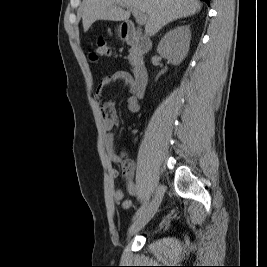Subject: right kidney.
Wrapping results in <instances>:
<instances>
[{"label":"right kidney","instance_id":"obj_1","mask_svg":"<svg viewBox=\"0 0 267 267\" xmlns=\"http://www.w3.org/2000/svg\"><path fill=\"white\" fill-rule=\"evenodd\" d=\"M190 37L189 26H177L162 37L157 52L173 65H179L188 54Z\"/></svg>","mask_w":267,"mask_h":267}]
</instances>
